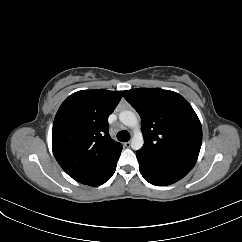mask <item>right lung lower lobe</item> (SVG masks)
Here are the masks:
<instances>
[{"instance_id":"1","label":"right lung lower lobe","mask_w":242,"mask_h":242,"mask_svg":"<svg viewBox=\"0 0 242 242\" xmlns=\"http://www.w3.org/2000/svg\"><path fill=\"white\" fill-rule=\"evenodd\" d=\"M121 151L102 163L90 175L79 182L90 186H99L108 181L116 170V163L120 157Z\"/></svg>"}]
</instances>
